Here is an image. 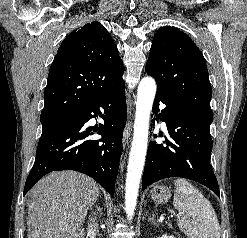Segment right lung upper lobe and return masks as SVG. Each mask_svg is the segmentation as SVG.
<instances>
[{"label": "right lung upper lobe", "instance_id": "1", "mask_svg": "<svg viewBox=\"0 0 247 238\" xmlns=\"http://www.w3.org/2000/svg\"><path fill=\"white\" fill-rule=\"evenodd\" d=\"M124 66L110 34L91 22L69 34L50 67L41 121L61 118L124 82Z\"/></svg>", "mask_w": 247, "mask_h": 238}]
</instances>
